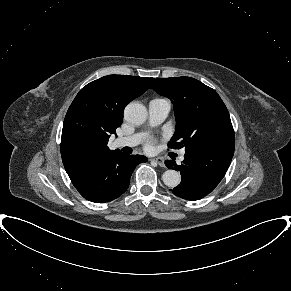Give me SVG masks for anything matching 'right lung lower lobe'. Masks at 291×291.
I'll return each mask as SVG.
<instances>
[{
    "label": "right lung lower lobe",
    "instance_id": "right-lung-lower-lobe-1",
    "mask_svg": "<svg viewBox=\"0 0 291 291\" xmlns=\"http://www.w3.org/2000/svg\"><path fill=\"white\" fill-rule=\"evenodd\" d=\"M147 160L142 155H128L117 151L93 168L75 188L89 201H112L128 189L136 165Z\"/></svg>",
    "mask_w": 291,
    "mask_h": 291
}]
</instances>
